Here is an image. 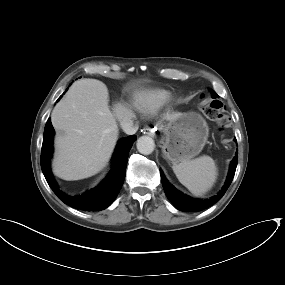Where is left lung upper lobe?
<instances>
[{
    "instance_id": "left-lung-upper-lobe-1",
    "label": "left lung upper lobe",
    "mask_w": 285,
    "mask_h": 285,
    "mask_svg": "<svg viewBox=\"0 0 285 285\" xmlns=\"http://www.w3.org/2000/svg\"><path fill=\"white\" fill-rule=\"evenodd\" d=\"M216 96H218L215 92H213L212 97L215 98Z\"/></svg>"
}]
</instances>
